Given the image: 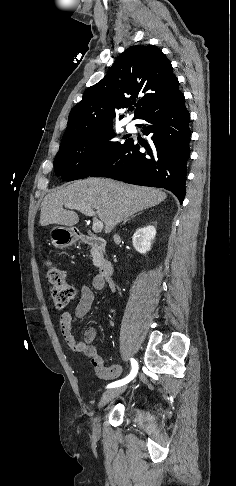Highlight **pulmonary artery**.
Wrapping results in <instances>:
<instances>
[{
  "instance_id": "obj_1",
  "label": "pulmonary artery",
  "mask_w": 236,
  "mask_h": 486,
  "mask_svg": "<svg viewBox=\"0 0 236 486\" xmlns=\"http://www.w3.org/2000/svg\"><path fill=\"white\" fill-rule=\"evenodd\" d=\"M126 130H127L128 132H130V133H134V132H136V126H135V123H134V122H132V121H131V122H129V123H127V125H126Z\"/></svg>"
}]
</instances>
